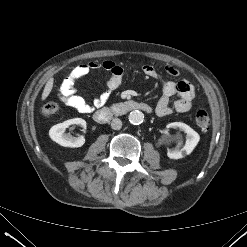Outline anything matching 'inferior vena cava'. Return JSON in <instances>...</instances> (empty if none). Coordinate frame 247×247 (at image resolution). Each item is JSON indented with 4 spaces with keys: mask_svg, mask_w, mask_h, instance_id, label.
Wrapping results in <instances>:
<instances>
[{
    "mask_svg": "<svg viewBox=\"0 0 247 247\" xmlns=\"http://www.w3.org/2000/svg\"><path fill=\"white\" fill-rule=\"evenodd\" d=\"M122 127V121L119 118H114L111 122V128L114 130H119Z\"/></svg>",
    "mask_w": 247,
    "mask_h": 247,
    "instance_id": "inferior-vena-cava-1",
    "label": "inferior vena cava"
}]
</instances>
